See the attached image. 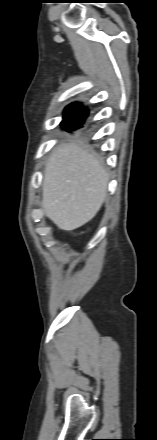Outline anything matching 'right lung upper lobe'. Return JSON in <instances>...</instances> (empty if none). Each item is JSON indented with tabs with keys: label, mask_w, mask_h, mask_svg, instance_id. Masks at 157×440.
I'll use <instances>...</instances> for the list:
<instances>
[{
	"label": "right lung upper lobe",
	"mask_w": 157,
	"mask_h": 440,
	"mask_svg": "<svg viewBox=\"0 0 157 440\" xmlns=\"http://www.w3.org/2000/svg\"><path fill=\"white\" fill-rule=\"evenodd\" d=\"M88 115V109L84 108L80 102H75L66 107L64 112L65 121H75L82 125Z\"/></svg>",
	"instance_id": "obj_1"
}]
</instances>
